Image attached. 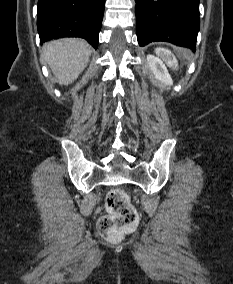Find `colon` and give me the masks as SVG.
I'll return each mask as SVG.
<instances>
[{
  "label": "colon",
  "mask_w": 233,
  "mask_h": 284,
  "mask_svg": "<svg viewBox=\"0 0 233 284\" xmlns=\"http://www.w3.org/2000/svg\"><path fill=\"white\" fill-rule=\"evenodd\" d=\"M156 52L171 69H178V61L170 50L157 48ZM106 209L107 215L98 221V231L106 238L116 239L121 233L131 229L137 223V212L123 189L116 188L108 193Z\"/></svg>",
  "instance_id": "colon-1"
}]
</instances>
